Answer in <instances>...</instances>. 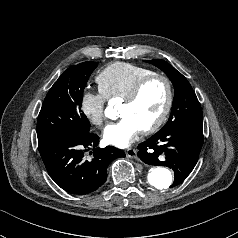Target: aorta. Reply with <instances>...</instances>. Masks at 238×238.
Segmentation results:
<instances>
[{
    "label": "aorta",
    "instance_id": "762f6f07",
    "mask_svg": "<svg viewBox=\"0 0 238 238\" xmlns=\"http://www.w3.org/2000/svg\"><path fill=\"white\" fill-rule=\"evenodd\" d=\"M114 110L108 106L105 110V116L107 118H114ZM148 182L151 186L158 190L168 189L173 181V175L171 171L164 167H153L149 170L147 176Z\"/></svg>",
    "mask_w": 238,
    "mask_h": 238
}]
</instances>
